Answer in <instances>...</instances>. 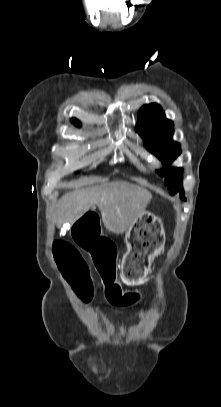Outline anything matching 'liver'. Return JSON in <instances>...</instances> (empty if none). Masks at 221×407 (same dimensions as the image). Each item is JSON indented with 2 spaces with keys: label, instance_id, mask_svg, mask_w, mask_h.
Returning <instances> with one entry per match:
<instances>
[{
  "label": "liver",
  "instance_id": "liver-1",
  "mask_svg": "<svg viewBox=\"0 0 221 407\" xmlns=\"http://www.w3.org/2000/svg\"><path fill=\"white\" fill-rule=\"evenodd\" d=\"M151 199L148 190L126 182L78 189L60 199L59 219L73 224L96 205L105 228L122 234L143 214Z\"/></svg>",
  "mask_w": 221,
  "mask_h": 407
}]
</instances>
